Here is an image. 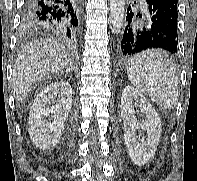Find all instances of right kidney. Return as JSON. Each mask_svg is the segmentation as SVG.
I'll use <instances>...</instances> for the list:
<instances>
[{
	"label": "right kidney",
	"instance_id": "1",
	"mask_svg": "<svg viewBox=\"0 0 197 181\" xmlns=\"http://www.w3.org/2000/svg\"><path fill=\"white\" fill-rule=\"evenodd\" d=\"M71 106L72 87L67 81L52 82L41 90L31 106L29 117V134L39 148L56 146Z\"/></svg>",
	"mask_w": 197,
	"mask_h": 181
}]
</instances>
